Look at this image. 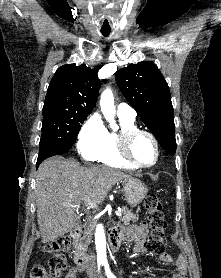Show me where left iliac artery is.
<instances>
[{
  "instance_id": "obj_1",
  "label": "left iliac artery",
  "mask_w": 221,
  "mask_h": 278,
  "mask_svg": "<svg viewBox=\"0 0 221 278\" xmlns=\"http://www.w3.org/2000/svg\"><path fill=\"white\" fill-rule=\"evenodd\" d=\"M104 266H105V272H106L107 277L108 278H116V276H114L112 274V272L110 271L108 263H104Z\"/></svg>"
}]
</instances>
